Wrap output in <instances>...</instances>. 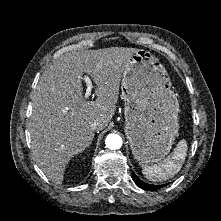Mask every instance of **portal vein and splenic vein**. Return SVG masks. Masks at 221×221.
I'll return each mask as SVG.
<instances>
[{
	"label": "portal vein and splenic vein",
	"mask_w": 221,
	"mask_h": 221,
	"mask_svg": "<svg viewBox=\"0 0 221 221\" xmlns=\"http://www.w3.org/2000/svg\"><path fill=\"white\" fill-rule=\"evenodd\" d=\"M84 82L86 83L87 89H86V93L84 95V99L86 100L90 95H91V91L93 89V85H92V81L89 78L88 75H85L83 77Z\"/></svg>",
	"instance_id": "portal-vein-and-splenic-vein-1"
}]
</instances>
